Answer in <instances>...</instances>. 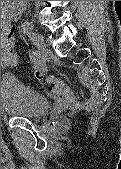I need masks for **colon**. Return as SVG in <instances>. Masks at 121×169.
I'll list each match as a JSON object with an SVG mask.
<instances>
[{
	"label": "colon",
	"instance_id": "1",
	"mask_svg": "<svg viewBox=\"0 0 121 169\" xmlns=\"http://www.w3.org/2000/svg\"><path fill=\"white\" fill-rule=\"evenodd\" d=\"M15 45L11 44L8 40L1 44V61L4 67H12L17 63V54L14 50ZM38 79H43L40 72H35ZM49 90L56 95L59 100L72 106H77L73 90L60 78L56 76H49L46 78Z\"/></svg>",
	"mask_w": 121,
	"mask_h": 169
}]
</instances>
